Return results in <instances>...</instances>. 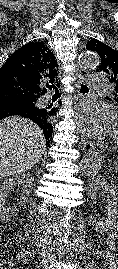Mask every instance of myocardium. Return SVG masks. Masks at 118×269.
<instances>
[{
	"mask_svg": "<svg viewBox=\"0 0 118 269\" xmlns=\"http://www.w3.org/2000/svg\"><path fill=\"white\" fill-rule=\"evenodd\" d=\"M113 120L118 123V112L114 113ZM111 139L114 143L118 145V132L117 133L113 132L111 135Z\"/></svg>",
	"mask_w": 118,
	"mask_h": 269,
	"instance_id": "f54148a6",
	"label": "myocardium"
}]
</instances>
